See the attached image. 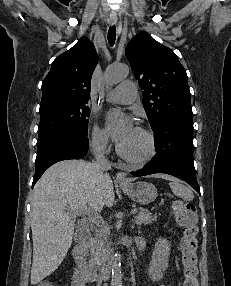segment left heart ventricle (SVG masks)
<instances>
[{
    "label": "left heart ventricle",
    "instance_id": "1",
    "mask_svg": "<svg viewBox=\"0 0 231 286\" xmlns=\"http://www.w3.org/2000/svg\"><path fill=\"white\" fill-rule=\"evenodd\" d=\"M122 150L132 157H139L145 154L148 149L147 139L138 131L134 130L131 136L122 144Z\"/></svg>",
    "mask_w": 231,
    "mask_h": 286
}]
</instances>
